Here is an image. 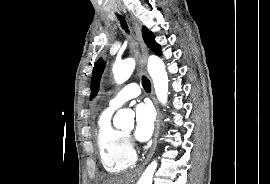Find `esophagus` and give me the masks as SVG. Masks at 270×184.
Instances as JSON below:
<instances>
[{
	"mask_svg": "<svg viewBox=\"0 0 270 184\" xmlns=\"http://www.w3.org/2000/svg\"><path fill=\"white\" fill-rule=\"evenodd\" d=\"M124 13L126 14L127 18L129 19V21L131 22L133 28H134V31L137 35V38L140 42V45H141V49H142V52H143V55H144V59H145V62H147V56H148V50L142 40V35H141V28H140V25L139 23L132 17V16H129L126 11L124 10ZM152 98H153V102H154V105H155V108H156V112H157V117H156V123H155V131H154V136H153V145L150 149V152L146 158V160L144 161V163L137 169V172H140L144 169V167L146 166V164L149 162V160L152 158L154 152H155V149H156V145H157V139H158V135H159V130H160V117H161V113H160V109H159V106H158V103H157V99L154 95V91L152 90Z\"/></svg>",
	"mask_w": 270,
	"mask_h": 184,
	"instance_id": "obj_1",
	"label": "esophagus"
}]
</instances>
